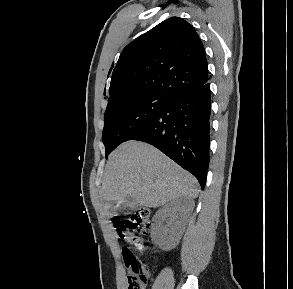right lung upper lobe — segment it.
<instances>
[{
  "label": "right lung upper lobe",
  "instance_id": "cb5924a9",
  "mask_svg": "<svg viewBox=\"0 0 293 289\" xmlns=\"http://www.w3.org/2000/svg\"><path fill=\"white\" fill-rule=\"evenodd\" d=\"M208 80L205 49L195 28L171 17L123 49L112 73L108 105L143 94L171 100Z\"/></svg>",
  "mask_w": 293,
  "mask_h": 289
}]
</instances>
